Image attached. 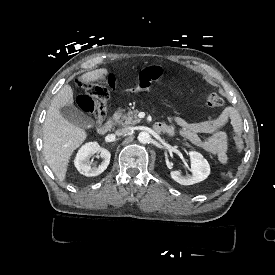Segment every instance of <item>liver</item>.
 Masks as SVG:
<instances>
[{
  "label": "liver",
  "instance_id": "liver-1",
  "mask_svg": "<svg viewBox=\"0 0 275 275\" xmlns=\"http://www.w3.org/2000/svg\"><path fill=\"white\" fill-rule=\"evenodd\" d=\"M101 68L83 74L80 79L85 82L96 81L107 74ZM73 91L70 85H64L53 98L47 111L43 126V153L45 159L58 177L63 181L73 151L86 139L85 130L69 123L61 114L60 108L73 104Z\"/></svg>",
  "mask_w": 275,
  "mask_h": 275
}]
</instances>
